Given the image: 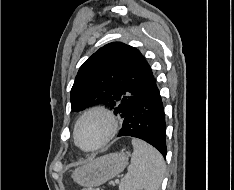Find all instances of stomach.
<instances>
[{
    "label": "stomach",
    "instance_id": "0dacf381",
    "mask_svg": "<svg viewBox=\"0 0 234 190\" xmlns=\"http://www.w3.org/2000/svg\"><path fill=\"white\" fill-rule=\"evenodd\" d=\"M127 164V154L111 153L76 168L72 178L80 186L97 187L121 173Z\"/></svg>",
    "mask_w": 234,
    "mask_h": 190
}]
</instances>
